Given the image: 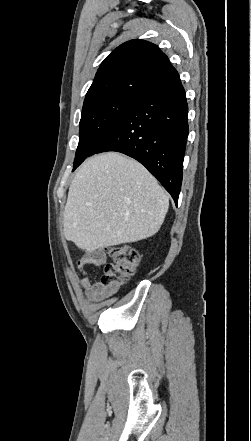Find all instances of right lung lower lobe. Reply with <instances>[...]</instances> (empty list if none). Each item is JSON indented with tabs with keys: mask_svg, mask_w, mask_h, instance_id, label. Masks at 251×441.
I'll return each mask as SVG.
<instances>
[{
	"mask_svg": "<svg viewBox=\"0 0 251 441\" xmlns=\"http://www.w3.org/2000/svg\"><path fill=\"white\" fill-rule=\"evenodd\" d=\"M187 115L185 90L176 73L141 96L89 156L116 151L136 159L177 205L188 137Z\"/></svg>",
	"mask_w": 251,
	"mask_h": 441,
	"instance_id": "1",
	"label": "right lung lower lobe"
}]
</instances>
